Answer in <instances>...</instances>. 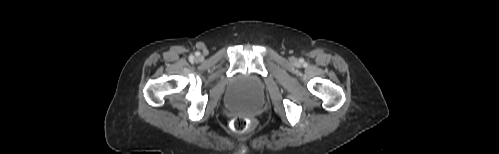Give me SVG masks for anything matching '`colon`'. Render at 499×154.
<instances>
[{
  "mask_svg": "<svg viewBox=\"0 0 499 154\" xmlns=\"http://www.w3.org/2000/svg\"><path fill=\"white\" fill-rule=\"evenodd\" d=\"M233 130L237 132H243L251 126V122L241 116L235 117L231 122Z\"/></svg>",
  "mask_w": 499,
  "mask_h": 154,
  "instance_id": "obj_1",
  "label": "colon"
}]
</instances>
